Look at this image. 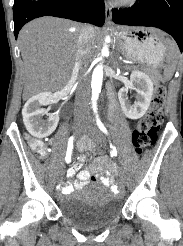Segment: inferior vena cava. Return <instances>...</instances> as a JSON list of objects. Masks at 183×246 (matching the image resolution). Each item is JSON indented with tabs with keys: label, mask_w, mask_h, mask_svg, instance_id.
<instances>
[{
	"label": "inferior vena cava",
	"mask_w": 183,
	"mask_h": 246,
	"mask_svg": "<svg viewBox=\"0 0 183 246\" xmlns=\"http://www.w3.org/2000/svg\"><path fill=\"white\" fill-rule=\"evenodd\" d=\"M93 27L91 25H84L80 31L78 39V50L76 53V61L73 69V74L83 73L88 66V46L93 37ZM88 82L84 79L80 82L75 98L76 109L88 108Z\"/></svg>",
	"instance_id": "602c4592"
}]
</instances>
